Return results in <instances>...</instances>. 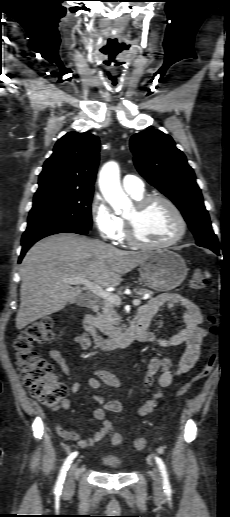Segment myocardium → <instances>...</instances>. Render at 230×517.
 Returning <instances> with one entry per match:
<instances>
[{
	"mask_svg": "<svg viewBox=\"0 0 230 517\" xmlns=\"http://www.w3.org/2000/svg\"><path fill=\"white\" fill-rule=\"evenodd\" d=\"M155 201H161L165 203L171 211L174 213L178 224L179 229L175 236H173L168 241L162 242V243H149L144 240H142L139 235L137 234L136 225L134 220L125 218V224H126V239L127 241L138 248L142 249H163L168 248L176 243H178L186 234L187 230V223L185 220L184 215L182 214L181 210L178 208V206L168 197L161 195V194H151L143 196L142 198L136 200L135 202V210L137 212L143 211L148 205H150L152 202Z\"/></svg>",
	"mask_w": 230,
	"mask_h": 517,
	"instance_id": "f54148a6",
	"label": "myocardium"
}]
</instances>
